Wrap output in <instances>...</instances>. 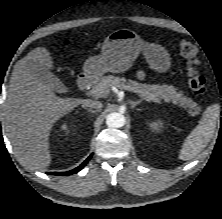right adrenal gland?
I'll list each match as a JSON object with an SVG mask.
<instances>
[{
	"label": "right adrenal gland",
	"mask_w": 222,
	"mask_h": 219,
	"mask_svg": "<svg viewBox=\"0 0 222 219\" xmlns=\"http://www.w3.org/2000/svg\"><path fill=\"white\" fill-rule=\"evenodd\" d=\"M85 110H87L90 113H96L97 112V110H92V109H88V108H85Z\"/></svg>",
	"instance_id": "2a0ac1e0"
}]
</instances>
